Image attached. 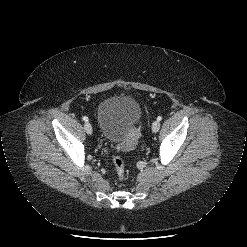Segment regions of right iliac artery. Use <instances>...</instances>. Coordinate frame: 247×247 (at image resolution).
Here are the masks:
<instances>
[{
    "label": "right iliac artery",
    "mask_w": 247,
    "mask_h": 247,
    "mask_svg": "<svg viewBox=\"0 0 247 247\" xmlns=\"http://www.w3.org/2000/svg\"><path fill=\"white\" fill-rule=\"evenodd\" d=\"M85 122H88V117H86V116H83V118H82Z\"/></svg>",
    "instance_id": "82829eb1"
}]
</instances>
